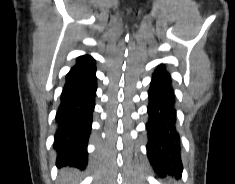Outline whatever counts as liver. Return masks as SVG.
<instances>
[{
	"label": "liver",
	"mask_w": 235,
	"mask_h": 184,
	"mask_svg": "<svg viewBox=\"0 0 235 184\" xmlns=\"http://www.w3.org/2000/svg\"><path fill=\"white\" fill-rule=\"evenodd\" d=\"M73 170H62L60 174V184H74Z\"/></svg>",
	"instance_id": "6515ba94"
}]
</instances>
